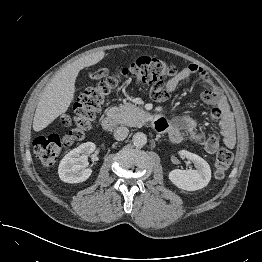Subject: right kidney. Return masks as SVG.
<instances>
[{
  "label": "right kidney",
  "instance_id": "obj_1",
  "mask_svg": "<svg viewBox=\"0 0 262 262\" xmlns=\"http://www.w3.org/2000/svg\"><path fill=\"white\" fill-rule=\"evenodd\" d=\"M95 148L94 143L86 142L66 154L58 167L60 179L66 183H80L87 180L92 170L85 167L88 165V156Z\"/></svg>",
  "mask_w": 262,
  "mask_h": 262
}]
</instances>
